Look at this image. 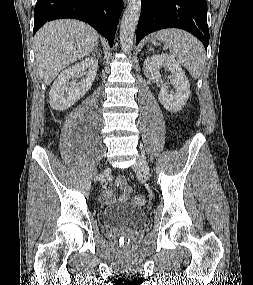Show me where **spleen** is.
I'll return each mask as SVG.
<instances>
[{
  "mask_svg": "<svg viewBox=\"0 0 253 285\" xmlns=\"http://www.w3.org/2000/svg\"><path fill=\"white\" fill-rule=\"evenodd\" d=\"M170 52L195 78H199L205 64L202 43L193 35L179 29H164L156 34Z\"/></svg>",
  "mask_w": 253,
  "mask_h": 285,
  "instance_id": "spleen-1",
  "label": "spleen"
}]
</instances>
